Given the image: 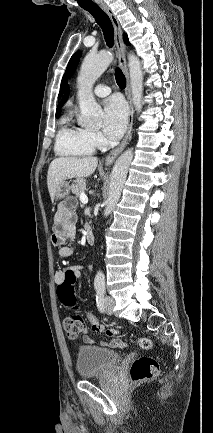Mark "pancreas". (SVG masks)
Listing matches in <instances>:
<instances>
[{"instance_id": "1", "label": "pancreas", "mask_w": 213, "mask_h": 433, "mask_svg": "<svg viewBox=\"0 0 213 433\" xmlns=\"http://www.w3.org/2000/svg\"><path fill=\"white\" fill-rule=\"evenodd\" d=\"M86 181L82 178H78L71 186L72 193L76 196H80L82 192L86 190Z\"/></svg>"}]
</instances>
